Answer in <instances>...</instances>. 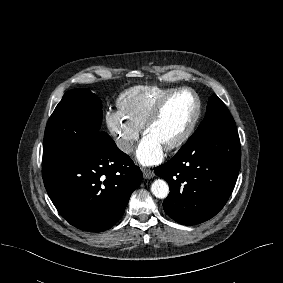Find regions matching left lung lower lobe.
Instances as JSON below:
<instances>
[{
	"label": "left lung lower lobe",
	"mask_w": 283,
	"mask_h": 283,
	"mask_svg": "<svg viewBox=\"0 0 283 283\" xmlns=\"http://www.w3.org/2000/svg\"><path fill=\"white\" fill-rule=\"evenodd\" d=\"M240 170V140L236 129L188 140L165 164L154 169L170 193L164 211L183 225L202 223L227 202Z\"/></svg>",
	"instance_id": "left-lung-lower-lobe-1"
}]
</instances>
